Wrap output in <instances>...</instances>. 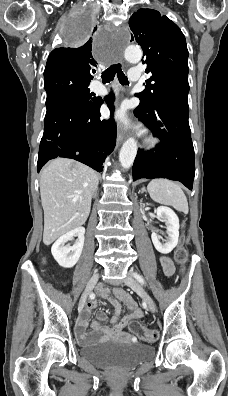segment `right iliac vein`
Masks as SVG:
<instances>
[{"label": "right iliac vein", "instance_id": "obj_1", "mask_svg": "<svg viewBox=\"0 0 228 396\" xmlns=\"http://www.w3.org/2000/svg\"><path fill=\"white\" fill-rule=\"evenodd\" d=\"M99 279V274L98 273H94L92 275V277L90 278V280L87 283V286L85 288L84 293L82 294L80 301H79V306H78V311L79 313L82 312L84 305L86 303V299L88 294L92 291V289L94 288V286L96 285L97 281Z\"/></svg>", "mask_w": 228, "mask_h": 396}]
</instances>
